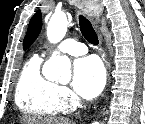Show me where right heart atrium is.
Wrapping results in <instances>:
<instances>
[{
  "label": "right heart atrium",
  "instance_id": "d8ad5b80",
  "mask_svg": "<svg viewBox=\"0 0 145 124\" xmlns=\"http://www.w3.org/2000/svg\"><path fill=\"white\" fill-rule=\"evenodd\" d=\"M58 102L62 111H69L78 102L76 95L67 87H58Z\"/></svg>",
  "mask_w": 145,
  "mask_h": 124
}]
</instances>
